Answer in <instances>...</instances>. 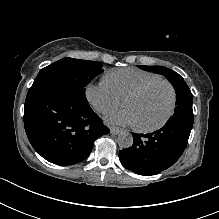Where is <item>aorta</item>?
Masks as SVG:
<instances>
[{
    "mask_svg": "<svg viewBox=\"0 0 219 219\" xmlns=\"http://www.w3.org/2000/svg\"><path fill=\"white\" fill-rule=\"evenodd\" d=\"M117 142L121 148H129L133 144V137L130 133H121L118 138Z\"/></svg>",
    "mask_w": 219,
    "mask_h": 219,
    "instance_id": "obj_1",
    "label": "aorta"
}]
</instances>
